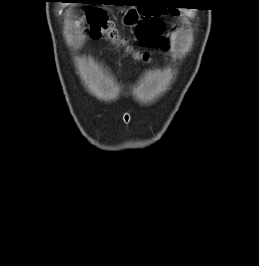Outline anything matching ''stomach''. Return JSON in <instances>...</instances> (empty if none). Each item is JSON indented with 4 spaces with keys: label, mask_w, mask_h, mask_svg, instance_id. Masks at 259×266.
<instances>
[{
    "label": "stomach",
    "mask_w": 259,
    "mask_h": 266,
    "mask_svg": "<svg viewBox=\"0 0 259 266\" xmlns=\"http://www.w3.org/2000/svg\"><path fill=\"white\" fill-rule=\"evenodd\" d=\"M132 20H134V16L127 13L126 16H125L126 24L131 25L132 24Z\"/></svg>",
    "instance_id": "obj_1"
}]
</instances>
